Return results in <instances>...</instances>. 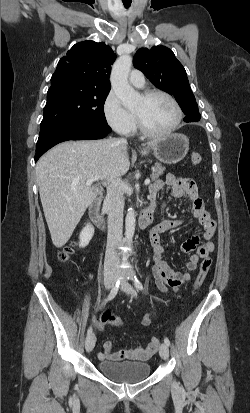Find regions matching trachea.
Instances as JSON below:
<instances>
[{
	"mask_svg": "<svg viewBox=\"0 0 250 413\" xmlns=\"http://www.w3.org/2000/svg\"><path fill=\"white\" fill-rule=\"evenodd\" d=\"M130 5H131V3H124V7H125L126 9L129 8Z\"/></svg>",
	"mask_w": 250,
	"mask_h": 413,
	"instance_id": "obj_1",
	"label": "trachea"
}]
</instances>
